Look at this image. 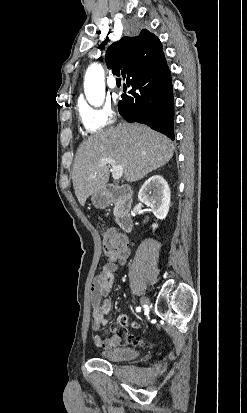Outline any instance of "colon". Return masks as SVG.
Instances as JSON below:
<instances>
[{
	"instance_id": "1",
	"label": "colon",
	"mask_w": 247,
	"mask_h": 413,
	"mask_svg": "<svg viewBox=\"0 0 247 413\" xmlns=\"http://www.w3.org/2000/svg\"><path fill=\"white\" fill-rule=\"evenodd\" d=\"M125 236L119 230L108 231L103 236V242L106 245L107 251L113 252L115 255L122 253V248L125 247Z\"/></svg>"
}]
</instances>
